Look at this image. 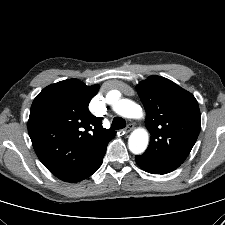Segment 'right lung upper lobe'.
<instances>
[{
  "label": "right lung upper lobe",
  "instance_id": "obj_1",
  "mask_svg": "<svg viewBox=\"0 0 225 225\" xmlns=\"http://www.w3.org/2000/svg\"><path fill=\"white\" fill-rule=\"evenodd\" d=\"M98 90L99 85L67 79L44 88L32 103L28 132L34 150L44 166L63 181L85 178L115 136L88 110Z\"/></svg>",
  "mask_w": 225,
  "mask_h": 225
}]
</instances>
